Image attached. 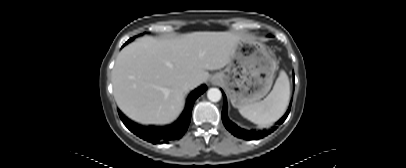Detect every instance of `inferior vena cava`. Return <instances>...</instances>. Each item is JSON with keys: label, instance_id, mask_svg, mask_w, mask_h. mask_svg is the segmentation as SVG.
<instances>
[{"label": "inferior vena cava", "instance_id": "602c4592", "mask_svg": "<svg viewBox=\"0 0 406 168\" xmlns=\"http://www.w3.org/2000/svg\"><path fill=\"white\" fill-rule=\"evenodd\" d=\"M192 85H193V82L191 80L186 82L185 89H190L192 87Z\"/></svg>", "mask_w": 406, "mask_h": 168}]
</instances>
